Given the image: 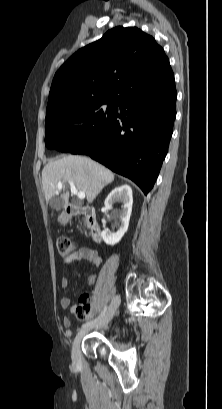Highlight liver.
Instances as JSON below:
<instances>
[{
	"mask_svg": "<svg viewBox=\"0 0 222 409\" xmlns=\"http://www.w3.org/2000/svg\"><path fill=\"white\" fill-rule=\"evenodd\" d=\"M62 180L73 181L77 190L83 191L88 203L91 204L104 186L114 180V174L87 157L68 155L51 161L42 170V187L47 202L59 195L57 186ZM60 196L63 200V207L66 208L69 191L65 185Z\"/></svg>",
	"mask_w": 222,
	"mask_h": 409,
	"instance_id": "liver-1",
	"label": "liver"
}]
</instances>
